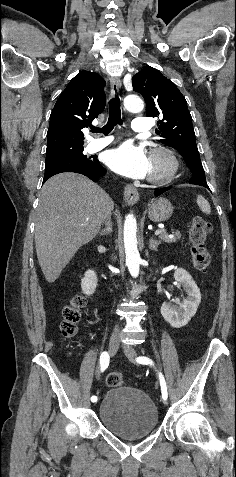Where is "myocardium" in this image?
I'll use <instances>...</instances> for the list:
<instances>
[{
	"label": "myocardium",
	"instance_id": "obj_1",
	"mask_svg": "<svg viewBox=\"0 0 236 477\" xmlns=\"http://www.w3.org/2000/svg\"><path fill=\"white\" fill-rule=\"evenodd\" d=\"M151 160L162 159L164 169L158 174H149L148 181L153 184H162L171 180L179 169V161L175 153L166 147H156L151 151Z\"/></svg>",
	"mask_w": 236,
	"mask_h": 477
}]
</instances>
